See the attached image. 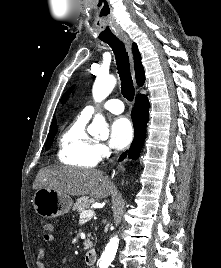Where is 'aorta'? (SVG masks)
I'll use <instances>...</instances> for the list:
<instances>
[{
  "mask_svg": "<svg viewBox=\"0 0 221 268\" xmlns=\"http://www.w3.org/2000/svg\"><path fill=\"white\" fill-rule=\"evenodd\" d=\"M116 78L114 76H98L94 82L92 94L95 102L104 100L114 89ZM89 133L99 134L101 137L108 136L109 130L105 118L101 114H96L88 128ZM119 240L117 236L110 239L102 255V261L109 264L115 257Z\"/></svg>",
  "mask_w": 221,
  "mask_h": 268,
  "instance_id": "aorta-1",
  "label": "aorta"
}]
</instances>
